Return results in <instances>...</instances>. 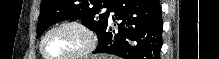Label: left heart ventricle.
I'll return each mask as SVG.
<instances>
[{
  "instance_id": "1",
  "label": "left heart ventricle",
  "mask_w": 219,
  "mask_h": 59,
  "mask_svg": "<svg viewBox=\"0 0 219 59\" xmlns=\"http://www.w3.org/2000/svg\"><path fill=\"white\" fill-rule=\"evenodd\" d=\"M85 44L84 35L72 27L52 32L44 44L45 52L51 57H66L79 51Z\"/></svg>"
}]
</instances>
